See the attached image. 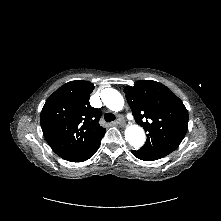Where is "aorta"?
Returning <instances> with one entry per match:
<instances>
[{
    "mask_svg": "<svg viewBox=\"0 0 221 221\" xmlns=\"http://www.w3.org/2000/svg\"><path fill=\"white\" fill-rule=\"evenodd\" d=\"M104 104L112 111L118 112L124 107V98L115 89L107 88L102 93ZM125 140L133 147L140 148L145 143V132L137 124L128 126L125 130Z\"/></svg>",
    "mask_w": 221,
    "mask_h": 221,
    "instance_id": "obj_1",
    "label": "aorta"
}]
</instances>
